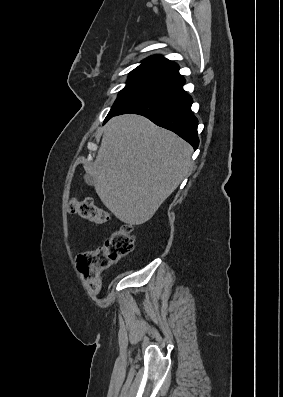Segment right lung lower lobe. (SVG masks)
Masks as SVG:
<instances>
[{
    "label": "right lung lower lobe",
    "instance_id": "obj_1",
    "mask_svg": "<svg viewBox=\"0 0 283 397\" xmlns=\"http://www.w3.org/2000/svg\"><path fill=\"white\" fill-rule=\"evenodd\" d=\"M184 83L182 80L138 100L116 115L133 113L145 116L158 126L175 132L196 150L199 145L198 120L191 111L193 100L183 90Z\"/></svg>",
    "mask_w": 283,
    "mask_h": 397
}]
</instances>
